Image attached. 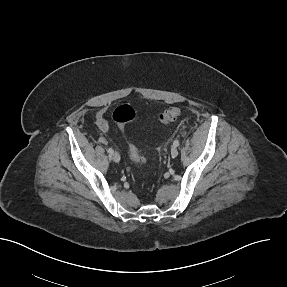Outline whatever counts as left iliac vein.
I'll list each match as a JSON object with an SVG mask.
<instances>
[{
	"instance_id": "1",
	"label": "left iliac vein",
	"mask_w": 287,
	"mask_h": 287,
	"mask_svg": "<svg viewBox=\"0 0 287 287\" xmlns=\"http://www.w3.org/2000/svg\"><path fill=\"white\" fill-rule=\"evenodd\" d=\"M178 149H177V146H175V145H173L172 147H171V156H172V158H176L177 157V155H178Z\"/></svg>"
}]
</instances>
